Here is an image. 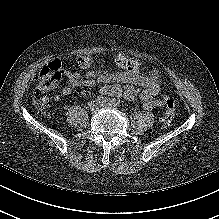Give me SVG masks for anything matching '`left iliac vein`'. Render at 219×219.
<instances>
[{
  "mask_svg": "<svg viewBox=\"0 0 219 219\" xmlns=\"http://www.w3.org/2000/svg\"><path fill=\"white\" fill-rule=\"evenodd\" d=\"M101 107L103 108H115L116 106L113 104L112 101L106 100L104 103L101 104Z\"/></svg>",
  "mask_w": 219,
  "mask_h": 219,
  "instance_id": "1",
  "label": "left iliac vein"
}]
</instances>
